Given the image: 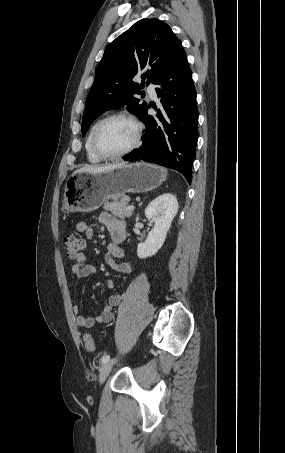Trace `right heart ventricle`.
<instances>
[{"label": "right heart ventricle", "mask_w": 285, "mask_h": 453, "mask_svg": "<svg viewBox=\"0 0 285 453\" xmlns=\"http://www.w3.org/2000/svg\"><path fill=\"white\" fill-rule=\"evenodd\" d=\"M97 123H98V122H95V123L91 126V128H90V130H89V132H88L87 138H86V142H85V150H86L87 158H88L89 162L94 163V164L100 163V162L102 161V159H101L100 157H98V156L94 153V151H93V149H92V143H91V141H92V134H93L94 128H95V126H96Z\"/></svg>", "instance_id": "e07e8e85"}]
</instances>
